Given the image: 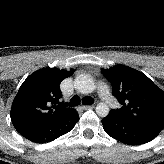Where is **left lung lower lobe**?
<instances>
[{
    "mask_svg": "<svg viewBox=\"0 0 164 164\" xmlns=\"http://www.w3.org/2000/svg\"><path fill=\"white\" fill-rule=\"evenodd\" d=\"M102 125L109 136L130 145L147 143L160 133L157 129L126 121L111 111L102 119Z\"/></svg>",
    "mask_w": 164,
    "mask_h": 164,
    "instance_id": "left-lung-lower-lobe-1",
    "label": "left lung lower lobe"
}]
</instances>
